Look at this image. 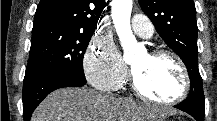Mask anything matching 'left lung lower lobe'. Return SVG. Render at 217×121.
<instances>
[{
    "instance_id": "obj_1",
    "label": "left lung lower lobe",
    "mask_w": 217,
    "mask_h": 121,
    "mask_svg": "<svg viewBox=\"0 0 217 121\" xmlns=\"http://www.w3.org/2000/svg\"><path fill=\"white\" fill-rule=\"evenodd\" d=\"M175 108L182 110L188 114H190L192 117H194L197 121H203L204 120V114L199 107L196 104V101L193 97H188L180 104H177L174 106Z\"/></svg>"
}]
</instances>
